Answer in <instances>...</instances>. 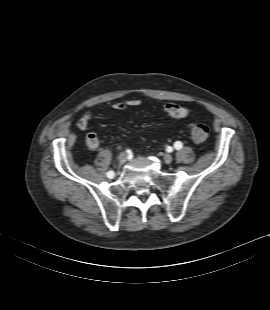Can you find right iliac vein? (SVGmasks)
Returning a JSON list of instances; mask_svg holds the SVG:
<instances>
[{"label": "right iliac vein", "instance_id": "right-iliac-vein-1", "mask_svg": "<svg viewBox=\"0 0 270 310\" xmlns=\"http://www.w3.org/2000/svg\"><path fill=\"white\" fill-rule=\"evenodd\" d=\"M126 160H127V154L124 153V152L120 153V155H119V162L122 164V163H124Z\"/></svg>", "mask_w": 270, "mask_h": 310}]
</instances>
